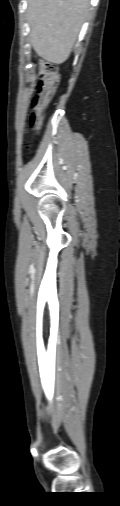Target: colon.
<instances>
[{
    "mask_svg": "<svg viewBox=\"0 0 120 506\" xmlns=\"http://www.w3.org/2000/svg\"><path fill=\"white\" fill-rule=\"evenodd\" d=\"M39 78L38 90L30 105L26 121L27 128L34 132L41 128L44 111L56 90L60 76L53 67L42 66Z\"/></svg>",
    "mask_w": 120,
    "mask_h": 506,
    "instance_id": "5ec220e1",
    "label": "colon"
}]
</instances>
